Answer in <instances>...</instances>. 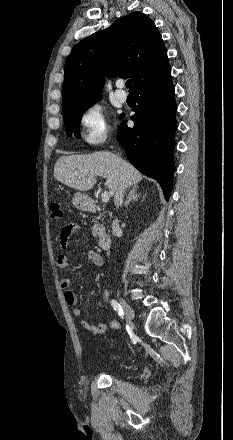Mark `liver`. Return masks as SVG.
<instances>
[{
	"mask_svg": "<svg viewBox=\"0 0 233 440\" xmlns=\"http://www.w3.org/2000/svg\"><path fill=\"white\" fill-rule=\"evenodd\" d=\"M97 176L106 178L110 195L117 192L122 180L128 186H136L143 178L130 163L108 151L62 156L54 165L55 180L76 190L92 189Z\"/></svg>",
	"mask_w": 233,
	"mask_h": 440,
	"instance_id": "1",
	"label": "liver"
}]
</instances>
